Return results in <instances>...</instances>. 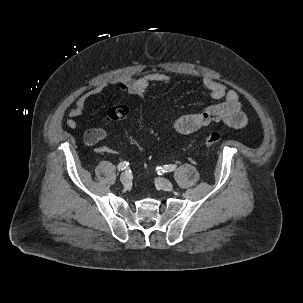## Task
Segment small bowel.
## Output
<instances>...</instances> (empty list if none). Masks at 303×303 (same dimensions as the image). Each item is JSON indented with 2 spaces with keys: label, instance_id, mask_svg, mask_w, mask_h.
<instances>
[{
  "label": "small bowel",
  "instance_id": "c3829d8e",
  "mask_svg": "<svg viewBox=\"0 0 303 303\" xmlns=\"http://www.w3.org/2000/svg\"><path fill=\"white\" fill-rule=\"evenodd\" d=\"M169 76L151 72L141 77L119 76L112 81V85L123 92L143 99L146 92L153 86H166L170 83ZM203 86L208 91L213 103L198 111H192L180 115L173 123L174 130L182 135L194 133L212 123H224L225 125L240 129L246 126L247 117L242 110V104L238 93L225 85L211 79L204 78ZM103 91V87L97 86L82 93L75 105L68 112L66 126L76 129L77 118L82 115L88 100ZM109 135L106 128H91L84 133L83 141L87 146L94 147ZM98 154H114L116 150L99 146L95 147Z\"/></svg>",
  "mask_w": 303,
  "mask_h": 303
}]
</instances>
